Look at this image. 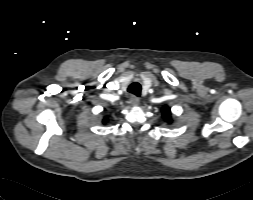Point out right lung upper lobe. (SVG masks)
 Returning a JSON list of instances; mask_svg holds the SVG:
<instances>
[{
	"mask_svg": "<svg viewBox=\"0 0 253 200\" xmlns=\"http://www.w3.org/2000/svg\"><path fill=\"white\" fill-rule=\"evenodd\" d=\"M107 122V118H105L104 120H103V123H106Z\"/></svg>",
	"mask_w": 253,
	"mask_h": 200,
	"instance_id": "1",
	"label": "right lung upper lobe"
}]
</instances>
